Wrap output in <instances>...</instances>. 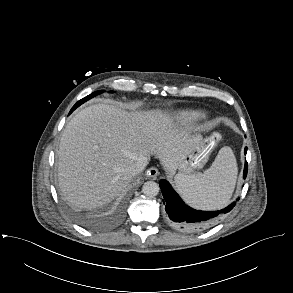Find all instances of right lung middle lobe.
<instances>
[{"mask_svg":"<svg viewBox=\"0 0 293 293\" xmlns=\"http://www.w3.org/2000/svg\"><path fill=\"white\" fill-rule=\"evenodd\" d=\"M103 91L102 90H99V91H96V92H93L92 94L86 96L85 98L81 99L80 101H78L74 106H73V110H75L78 106H80L81 104H83L84 102L88 101L89 99L97 96L98 94L102 93ZM112 92V91H111Z\"/></svg>","mask_w":293,"mask_h":293,"instance_id":"1","label":"right lung middle lobe"}]
</instances>
